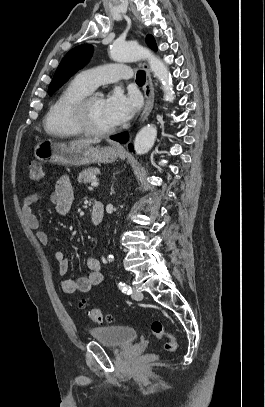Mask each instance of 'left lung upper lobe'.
Instances as JSON below:
<instances>
[{
    "label": "left lung upper lobe",
    "instance_id": "left-lung-upper-lobe-1",
    "mask_svg": "<svg viewBox=\"0 0 265 407\" xmlns=\"http://www.w3.org/2000/svg\"><path fill=\"white\" fill-rule=\"evenodd\" d=\"M146 43L149 47L156 50L157 46L154 38L151 35L146 37ZM93 53V46L83 44L70 50L62 59L58 66L52 82L49 85L48 93L52 95L59 87H61L78 69L82 68Z\"/></svg>",
    "mask_w": 265,
    "mask_h": 407
}]
</instances>
